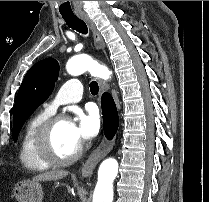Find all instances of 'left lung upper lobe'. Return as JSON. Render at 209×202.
Segmentation results:
<instances>
[{"mask_svg":"<svg viewBox=\"0 0 209 202\" xmlns=\"http://www.w3.org/2000/svg\"><path fill=\"white\" fill-rule=\"evenodd\" d=\"M59 63L54 58L43 59L26 73L16 96L13 111V140H17L24 122L46 101L58 79Z\"/></svg>","mask_w":209,"mask_h":202,"instance_id":"1","label":"left lung upper lobe"}]
</instances>
